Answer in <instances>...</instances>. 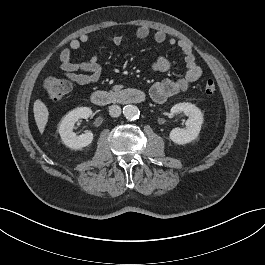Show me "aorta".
Masks as SVG:
<instances>
[{
  "label": "aorta",
  "instance_id": "1",
  "mask_svg": "<svg viewBox=\"0 0 265 265\" xmlns=\"http://www.w3.org/2000/svg\"><path fill=\"white\" fill-rule=\"evenodd\" d=\"M139 109L135 105H126L123 109L124 117L128 120H135L139 117Z\"/></svg>",
  "mask_w": 265,
  "mask_h": 265
}]
</instances>
